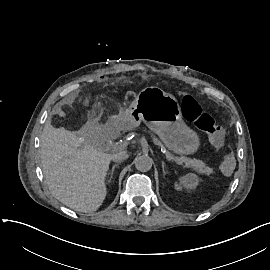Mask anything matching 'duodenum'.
I'll use <instances>...</instances> for the list:
<instances>
[{"mask_svg": "<svg viewBox=\"0 0 270 270\" xmlns=\"http://www.w3.org/2000/svg\"><path fill=\"white\" fill-rule=\"evenodd\" d=\"M122 123L119 120H112L105 127L103 132V140L104 142H108L116 138L118 131L120 130Z\"/></svg>", "mask_w": 270, "mask_h": 270, "instance_id": "duodenum-1", "label": "duodenum"}]
</instances>
